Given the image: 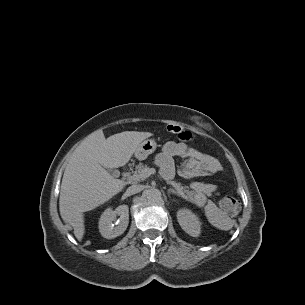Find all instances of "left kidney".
I'll list each match as a JSON object with an SVG mask.
<instances>
[{"label": "left kidney", "instance_id": "1", "mask_svg": "<svg viewBox=\"0 0 305 305\" xmlns=\"http://www.w3.org/2000/svg\"><path fill=\"white\" fill-rule=\"evenodd\" d=\"M177 220L181 228L192 237H198L201 231V222L197 215L188 209L177 212Z\"/></svg>", "mask_w": 305, "mask_h": 305}]
</instances>
